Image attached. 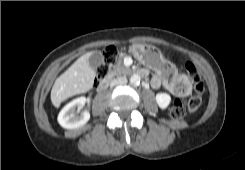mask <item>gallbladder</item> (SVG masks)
Wrapping results in <instances>:
<instances>
[{
    "instance_id": "bac80fb5",
    "label": "gallbladder",
    "mask_w": 245,
    "mask_h": 170,
    "mask_svg": "<svg viewBox=\"0 0 245 170\" xmlns=\"http://www.w3.org/2000/svg\"><path fill=\"white\" fill-rule=\"evenodd\" d=\"M103 55L99 51L92 52L88 63L93 69H97L103 63Z\"/></svg>"
}]
</instances>
